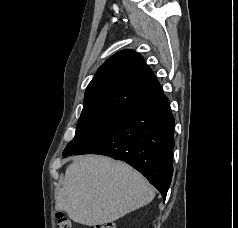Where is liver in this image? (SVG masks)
<instances>
[{"mask_svg":"<svg viewBox=\"0 0 238 228\" xmlns=\"http://www.w3.org/2000/svg\"><path fill=\"white\" fill-rule=\"evenodd\" d=\"M154 197L152 186L128 164L81 156L67 167L55 207L74 222L95 226L113 222Z\"/></svg>","mask_w":238,"mask_h":228,"instance_id":"obj_1","label":"liver"}]
</instances>
